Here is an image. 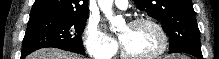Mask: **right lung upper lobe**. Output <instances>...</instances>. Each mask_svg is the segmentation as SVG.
Returning <instances> with one entry per match:
<instances>
[{
    "label": "right lung upper lobe",
    "instance_id": "cb5924a9",
    "mask_svg": "<svg viewBox=\"0 0 219 59\" xmlns=\"http://www.w3.org/2000/svg\"><path fill=\"white\" fill-rule=\"evenodd\" d=\"M31 13L88 15V0H35Z\"/></svg>",
    "mask_w": 219,
    "mask_h": 59
}]
</instances>
